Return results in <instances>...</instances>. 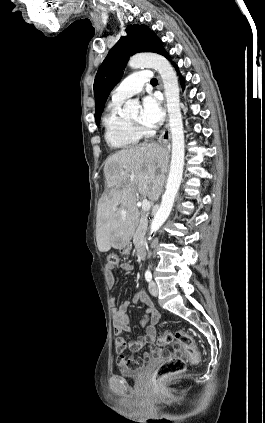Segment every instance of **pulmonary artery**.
Returning a JSON list of instances; mask_svg holds the SVG:
<instances>
[{
	"instance_id": "1",
	"label": "pulmonary artery",
	"mask_w": 265,
	"mask_h": 423,
	"mask_svg": "<svg viewBox=\"0 0 265 423\" xmlns=\"http://www.w3.org/2000/svg\"><path fill=\"white\" fill-rule=\"evenodd\" d=\"M152 78L149 70H139L127 77L113 92L112 99L124 101L139 93Z\"/></svg>"
}]
</instances>
